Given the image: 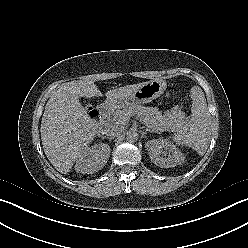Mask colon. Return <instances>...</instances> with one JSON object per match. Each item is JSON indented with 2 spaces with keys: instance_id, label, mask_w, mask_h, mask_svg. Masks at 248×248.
<instances>
[{
  "instance_id": "colon-1",
  "label": "colon",
  "mask_w": 248,
  "mask_h": 248,
  "mask_svg": "<svg viewBox=\"0 0 248 248\" xmlns=\"http://www.w3.org/2000/svg\"><path fill=\"white\" fill-rule=\"evenodd\" d=\"M89 113H90V115L92 116V117H96V109H94V108H90L89 109Z\"/></svg>"
}]
</instances>
